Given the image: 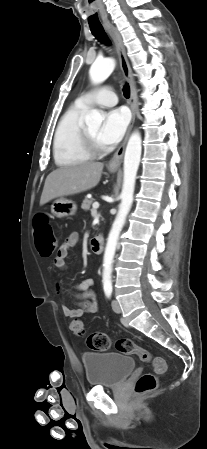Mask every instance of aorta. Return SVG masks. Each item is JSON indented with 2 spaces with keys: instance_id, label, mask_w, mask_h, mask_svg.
Segmentation results:
<instances>
[{
  "instance_id": "obj_1",
  "label": "aorta",
  "mask_w": 207,
  "mask_h": 449,
  "mask_svg": "<svg viewBox=\"0 0 207 449\" xmlns=\"http://www.w3.org/2000/svg\"><path fill=\"white\" fill-rule=\"evenodd\" d=\"M115 68V61L111 58L95 61L89 70L92 83L100 84L104 82ZM103 117L98 110H91L85 117L86 125L90 127H100ZM142 151V140L139 132H133L130 136L125 156H124V178L120 195L121 203L112 228L109 232L103 259V284L111 285L112 263L115 256L118 238L125 224L126 217L133 203L135 180L140 163Z\"/></svg>"
}]
</instances>
